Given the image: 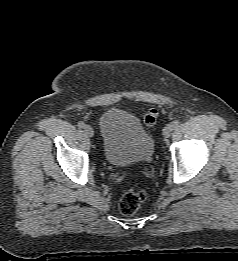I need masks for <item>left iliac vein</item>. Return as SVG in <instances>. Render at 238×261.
Listing matches in <instances>:
<instances>
[{
    "label": "left iliac vein",
    "instance_id": "left-iliac-vein-1",
    "mask_svg": "<svg viewBox=\"0 0 238 261\" xmlns=\"http://www.w3.org/2000/svg\"><path fill=\"white\" fill-rule=\"evenodd\" d=\"M173 129H174V128H173V126H172L171 123H170V124H167V125L164 127V129H163V136H164L165 138H168V137L171 135Z\"/></svg>",
    "mask_w": 238,
    "mask_h": 261
}]
</instances>
